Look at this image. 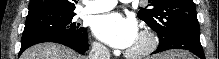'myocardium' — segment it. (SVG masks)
Returning a JSON list of instances; mask_svg holds the SVG:
<instances>
[{
	"label": "myocardium",
	"mask_w": 219,
	"mask_h": 59,
	"mask_svg": "<svg viewBox=\"0 0 219 59\" xmlns=\"http://www.w3.org/2000/svg\"><path fill=\"white\" fill-rule=\"evenodd\" d=\"M143 44L138 48H129L126 55L131 58H143L151 54L158 45L156 34L150 29H144L139 33Z\"/></svg>",
	"instance_id": "1"
}]
</instances>
